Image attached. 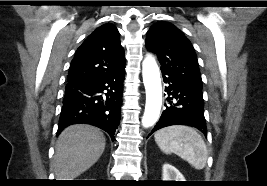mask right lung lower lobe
Listing matches in <instances>:
<instances>
[{
	"instance_id": "98d812e1",
	"label": "right lung lower lobe",
	"mask_w": 267,
	"mask_h": 186,
	"mask_svg": "<svg viewBox=\"0 0 267 186\" xmlns=\"http://www.w3.org/2000/svg\"><path fill=\"white\" fill-rule=\"evenodd\" d=\"M125 64L104 73L67 81L58 134L67 126L91 124L114 140L120 123Z\"/></svg>"
}]
</instances>
